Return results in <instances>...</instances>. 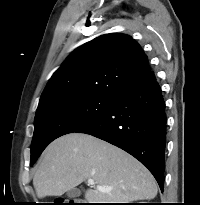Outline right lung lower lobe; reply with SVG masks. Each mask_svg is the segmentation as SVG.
<instances>
[{"label":"right lung lower lobe","mask_w":200,"mask_h":205,"mask_svg":"<svg viewBox=\"0 0 200 205\" xmlns=\"http://www.w3.org/2000/svg\"><path fill=\"white\" fill-rule=\"evenodd\" d=\"M166 121L161 88L150 71L121 91L100 118L76 132L130 153L150 170L163 191Z\"/></svg>","instance_id":"98d812e1"}]
</instances>
